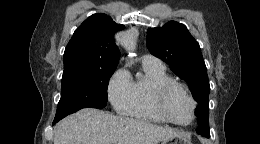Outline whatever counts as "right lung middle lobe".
<instances>
[{"instance_id": "right-lung-middle-lobe-1", "label": "right lung middle lobe", "mask_w": 260, "mask_h": 144, "mask_svg": "<svg viewBox=\"0 0 260 144\" xmlns=\"http://www.w3.org/2000/svg\"><path fill=\"white\" fill-rule=\"evenodd\" d=\"M114 69L63 72L61 99L54 121L58 122L82 108H104L107 86Z\"/></svg>"}]
</instances>
